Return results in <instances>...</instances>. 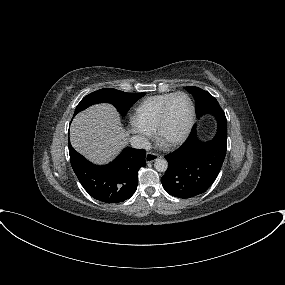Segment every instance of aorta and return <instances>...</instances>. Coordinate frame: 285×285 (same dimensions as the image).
Here are the masks:
<instances>
[{"instance_id":"1","label":"aorta","mask_w":285,"mask_h":285,"mask_svg":"<svg viewBox=\"0 0 285 285\" xmlns=\"http://www.w3.org/2000/svg\"><path fill=\"white\" fill-rule=\"evenodd\" d=\"M154 167L158 172H165L168 168V162L163 158H157Z\"/></svg>"}]
</instances>
